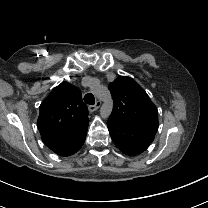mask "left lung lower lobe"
Here are the masks:
<instances>
[{"instance_id": "0a47b994", "label": "left lung lower lobe", "mask_w": 208, "mask_h": 208, "mask_svg": "<svg viewBox=\"0 0 208 208\" xmlns=\"http://www.w3.org/2000/svg\"><path fill=\"white\" fill-rule=\"evenodd\" d=\"M107 126L114 144L122 153L128 156L141 154L151 144L134 128L110 120L107 121Z\"/></svg>"}]
</instances>
